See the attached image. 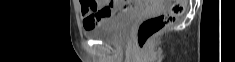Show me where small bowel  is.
Returning a JSON list of instances; mask_svg holds the SVG:
<instances>
[{"instance_id":"small-bowel-1","label":"small bowel","mask_w":235,"mask_h":62,"mask_svg":"<svg viewBox=\"0 0 235 62\" xmlns=\"http://www.w3.org/2000/svg\"><path fill=\"white\" fill-rule=\"evenodd\" d=\"M122 0L81 1L83 26L86 30L94 29L107 23L118 10H128Z\"/></svg>"}]
</instances>
